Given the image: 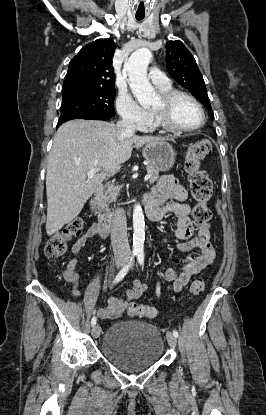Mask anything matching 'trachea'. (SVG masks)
<instances>
[{
	"label": "trachea",
	"instance_id": "1",
	"mask_svg": "<svg viewBox=\"0 0 266 415\" xmlns=\"http://www.w3.org/2000/svg\"><path fill=\"white\" fill-rule=\"evenodd\" d=\"M136 19H137L138 21H141V20H143V19H144V16H139V15H136Z\"/></svg>",
	"mask_w": 266,
	"mask_h": 415
}]
</instances>
